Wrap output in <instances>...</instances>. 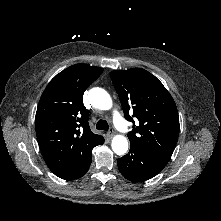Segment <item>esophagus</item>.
<instances>
[{
	"mask_svg": "<svg viewBox=\"0 0 221 221\" xmlns=\"http://www.w3.org/2000/svg\"><path fill=\"white\" fill-rule=\"evenodd\" d=\"M114 135H115V132H114L113 128H111V129L107 132V136H108L109 138H112Z\"/></svg>",
	"mask_w": 221,
	"mask_h": 221,
	"instance_id": "obj_1",
	"label": "esophagus"
}]
</instances>
